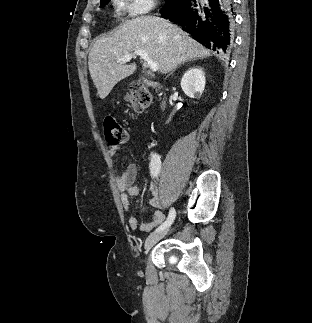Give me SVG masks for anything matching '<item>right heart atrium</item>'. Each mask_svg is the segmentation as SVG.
<instances>
[{"instance_id": "obj_1", "label": "right heart atrium", "mask_w": 312, "mask_h": 323, "mask_svg": "<svg viewBox=\"0 0 312 323\" xmlns=\"http://www.w3.org/2000/svg\"><path fill=\"white\" fill-rule=\"evenodd\" d=\"M162 0H117L124 13H154Z\"/></svg>"}]
</instances>
